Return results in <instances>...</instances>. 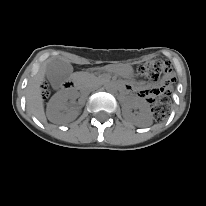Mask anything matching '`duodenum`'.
<instances>
[{"label": "duodenum", "mask_w": 206, "mask_h": 206, "mask_svg": "<svg viewBox=\"0 0 206 206\" xmlns=\"http://www.w3.org/2000/svg\"><path fill=\"white\" fill-rule=\"evenodd\" d=\"M64 88H65V89H68V90H70V89H76V88H77V83H76V81L73 80V79L68 80V81L65 82Z\"/></svg>", "instance_id": "obj_1"}]
</instances>
